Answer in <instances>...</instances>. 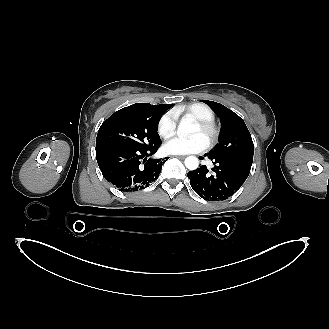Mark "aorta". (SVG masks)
I'll use <instances>...</instances> for the list:
<instances>
[{"mask_svg": "<svg viewBox=\"0 0 329 329\" xmlns=\"http://www.w3.org/2000/svg\"><path fill=\"white\" fill-rule=\"evenodd\" d=\"M193 124L188 120H182L178 126V133L180 135H187L192 132ZM185 166L189 170H196L199 166V160L195 156H189L184 161Z\"/></svg>", "mask_w": 329, "mask_h": 329, "instance_id": "obj_1", "label": "aorta"}]
</instances>
